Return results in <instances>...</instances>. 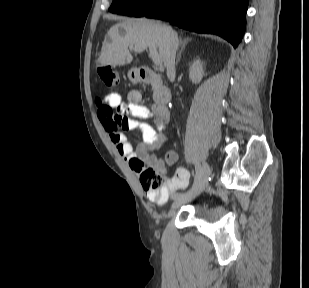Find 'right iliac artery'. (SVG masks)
<instances>
[{
    "instance_id": "right-iliac-artery-1",
    "label": "right iliac artery",
    "mask_w": 309,
    "mask_h": 288,
    "mask_svg": "<svg viewBox=\"0 0 309 288\" xmlns=\"http://www.w3.org/2000/svg\"><path fill=\"white\" fill-rule=\"evenodd\" d=\"M195 177H194V182L192 183V185H189L188 186V189L189 190H194L195 187L197 186V184H199V176H200V168H201V165L200 164H196L195 165ZM187 191V190H186ZM184 193V192H183ZM182 194V191L181 190H178L177 192H173L172 193V198L173 199H178L179 196Z\"/></svg>"
}]
</instances>
